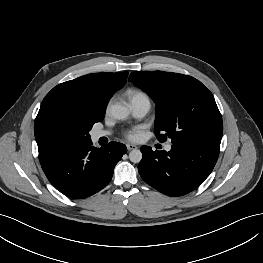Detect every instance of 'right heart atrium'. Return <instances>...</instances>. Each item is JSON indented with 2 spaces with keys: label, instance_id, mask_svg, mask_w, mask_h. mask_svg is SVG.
<instances>
[{
  "label": "right heart atrium",
  "instance_id": "d8ad5b80",
  "mask_svg": "<svg viewBox=\"0 0 263 263\" xmlns=\"http://www.w3.org/2000/svg\"><path fill=\"white\" fill-rule=\"evenodd\" d=\"M109 107H110V102L107 104L106 106V110L108 111L109 110Z\"/></svg>",
  "mask_w": 263,
  "mask_h": 263
}]
</instances>
